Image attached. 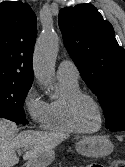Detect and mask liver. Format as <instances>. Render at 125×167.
Here are the masks:
<instances>
[{
  "label": "liver",
  "instance_id": "6515ba94",
  "mask_svg": "<svg viewBox=\"0 0 125 167\" xmlns=\"http://www.w3.org/2000/svg\"><path fill=\"white\" fill-rule=\"evenodd\" d=\"M17 131L14 122L0 118V167H12L19 162L18 148L27 149L23 160L30 161L68 138L64 133L25 130L16 134Z\"/></svg>",
  "mask_w": 125,
  "mask_h": 167
}]
</instances>
